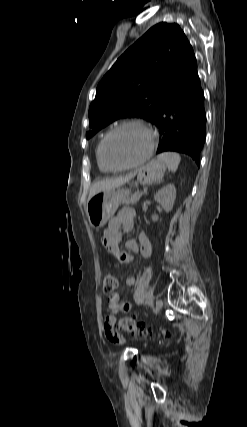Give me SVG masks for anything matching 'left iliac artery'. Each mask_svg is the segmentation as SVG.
<instances>
[{"mask_svg": "<svg viewBox=\"0 0 247 427\" xmlns=\"http://www.w3.org/2000/svg\"><path fill=\"white\" fill-rule=\"evenodd\" d=\"M147 304L151 306V305L153 304V300H152V299H149V300L147 301Z\"/></svg>", "mask_w": 247, "mask_h": 427, "instance_id": "left-iliac-artery-1", "label": "left iliac artery"}]
</instances>
